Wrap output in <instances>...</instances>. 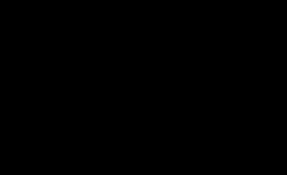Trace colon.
<instances>
[{
	"instance_id": "5ec220e1",
	"label": "colon",
	"mask_w": 287,
	"mask_h": 175,
	"mask_svg": "<svg viewBox=\"0 0 287 175\" xmlns=\"http://www.w3.org/2000/svg\"><path fill=\"white\" fill-rule=\"evenodd\" d=\"M181 49H182V50H185V49H186V46H185V45H182V46H181Z\"/></svg>"
}]
</instances>
